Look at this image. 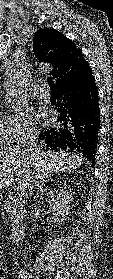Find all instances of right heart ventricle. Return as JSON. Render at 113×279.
Segmentation results:
<instances>
[{
    "mask_svg": "<svg viewBox=\"0 0 113 279\" xmlns=\"http://www.w3.org/2000/svg\"><path fill=\"white\" fill-rule=\"evenodd\" d=\"M11 142L7 126V117L0 112V146Z\"/></svg>",
    "mask_w": 113,
    "mask_h": 279,
    "instance_id": "right-heart-ventricle-1",
    "label": "right heart ventricle"
}]
</instances>
